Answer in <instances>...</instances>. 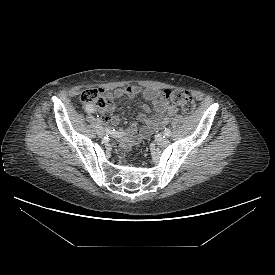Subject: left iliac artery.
<instances>
[{
  "label": "left iliac artery",
  "instance_id": "44dca946",
  "mask_svg": "<svg viewBox=\"0 0 275 275\" xmlns=\"http://www.w3.org/2000/svg\"><path fill=\"white\" fill-rule=\"evenodd\" d=\"M164 135H165L166 137H170V136H171V130H170V129H165ZM165 136H164V137H165Z\"/></svg>",
  "mask_w": 275,
  "mask_h": 275
}]
</instances>
